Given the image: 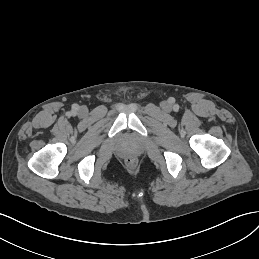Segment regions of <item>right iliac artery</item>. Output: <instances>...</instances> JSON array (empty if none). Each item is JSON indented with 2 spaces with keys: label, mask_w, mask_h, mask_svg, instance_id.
I'll return each instance as SVG.
<instances>
[{
  "label": "right iliac artery",
  "mask_w": 259,
  "mask_h": 259,
  "mask_svg": "<svg viewBox=\"0 0 259 259\" xmlns=\"http://www.w3.org/2000/svg\"><path fill=\"white\" fill-rule=\"evenodd\" d=\"M73 109L76 111V110H78V105L77 104H74L73 105Z\"/></svg>",
  "instance_id": "right-iliac-artery-1"
}]
</instances>
